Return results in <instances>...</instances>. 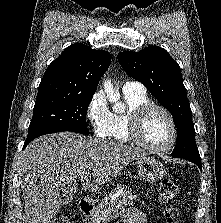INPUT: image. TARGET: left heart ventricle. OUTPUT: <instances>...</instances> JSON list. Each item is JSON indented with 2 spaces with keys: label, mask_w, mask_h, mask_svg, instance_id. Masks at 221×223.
<instances>
[{
  "label": "left heart ventricle",
  "mask_w": 221,
  "mask_h": 223,
  "mask_svg": "<svg viewBox=\"0 0 221 223\" xmlns=\"http://www.w3.org/2000/svg\"><path fill=\"white\" fill-rule=\"evenodd\" d=\"M141 136L151 145H166L172 136L171 125L167 116L160 110L150 111L144 119Z\"/></svg>",
  "instance_id": "left-heart-ventricle-1"
}]
</instances>
